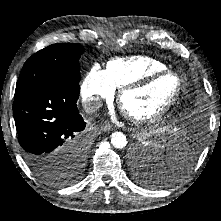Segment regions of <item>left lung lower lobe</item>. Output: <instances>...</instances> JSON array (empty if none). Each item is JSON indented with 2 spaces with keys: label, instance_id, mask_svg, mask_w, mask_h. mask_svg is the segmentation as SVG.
<instances>
[{
  "label": "left lung lower lobe",
  "instance_id": "0a47b994",
  "mask_svg": "<svg viewBox=\"0 0 221 221\" xmlns=\"http://www.w3.org/2000/svg\"><path fill=\"white\" fill-rule=\"evenodd\" d=\"M177 118L163 139H155L147 151H142L139 146L132 149L135 170L143 165L149 171L147 186L161 187L174 182L191 168L197 157L203 117L194 121H188L182 115Z\"/></svg>",
  "mask_w": 221,
  "mask_h": 221
}]
</instances>
